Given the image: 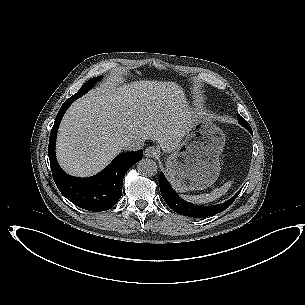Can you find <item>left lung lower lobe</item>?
<instances>
[{"mask_svg": "<svg viewBox=\"0 0 305 305\" xmlns=\"http://www.w3.org/2000/svg\"><path fill=\"white\" fill-rule=\"evenodd\" d=\"M160 190H161V195H162L164 201L167 203V205L172 210H174L175 212H177L179 214L182 213V211H181L182 205L189 204V203L183 201L173 191V189L170 187V185L166 181L162 172L160 173ZM238 194L239 193H237L231 199H229L228 201H226L222 204L213 205V206H199V207H202L204 210H206V213L203 214V215H205L204 217L212 216V215H215V214L220 213V212L224 211L225 209H227L234 202V200L236 199Z\"/></svg>", "mask_w": 305, "mask_h": 305, "instance_id": "0a47b994", "label": "left lung lower lobe"}]
</instances>
